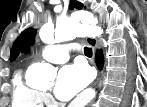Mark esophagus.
Here are the masks:
<instances>
[{
  "label": "esophagus",
  "mask_w": 147,
  "mask_h": 107,
  "mask_svg": "<svg viewBox=\"0 0 147 107\" xmlns=\"http://www.w3.org/2000/svg\"><path fill=\"white\" fill-rule=\"evenodd\" d=\"M86 42H87V44H88L89 46L92 47V49H93L94 51L97 50V48H98V40H97V39L92 38V37H87V38H86ZM99 78H100V74H99L98 77H97L96 83L99 81Z\"/></svg>",
  "instance_id": "1"
}]
</instances>
